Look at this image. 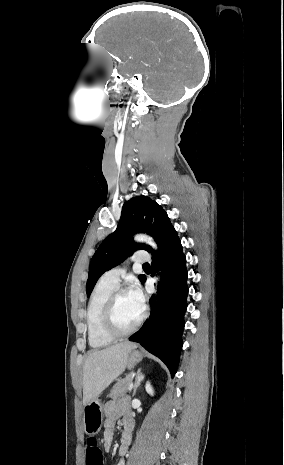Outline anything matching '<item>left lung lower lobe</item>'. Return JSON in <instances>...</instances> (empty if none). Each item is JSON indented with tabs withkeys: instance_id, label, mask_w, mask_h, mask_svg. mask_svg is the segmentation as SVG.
<instances>
[{
	"instance_id": "obj_1",
	"label": "left lung lower lobe",
	"mask_w": 284,
	"mask_h": 465,
	"mask_svg": "<svg viewBox=\"0 0 284 465\" xmlns=\"http://www.w3.org/2000/svg\"><path fill=\"white\" fill-rule=\"evenodd\" d=\"M161 265V283L158 301L150 299L151 314L145 327L135 333L130 341L140 343L146 350L159 357L169 368L172 377L177 371L182 349V334L187 309L186 257L176 230L159 253L153 254V275ZM146 280L143 278L142 282Z\"/></svg>"
}]
</instances>
